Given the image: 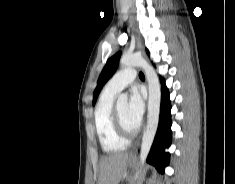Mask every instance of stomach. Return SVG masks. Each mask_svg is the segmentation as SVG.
Returning <instances> with one entry per match:
<instances>
[{"label": "stomach", "instance_id": "obj_1", "mask_svg": "<svg viewBox=\"0 0 235 184\" xmlns=\"http://www.w3.org/2000/svg\"><path fill=\"white\" fill-rule=\"evenodd\" d=\"M134 162H135V156L131 154V156H129L128 166H133Z\"/></svg>", "mask_w": 235, "mask_h": 184}]
</instances>
